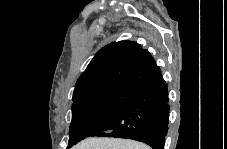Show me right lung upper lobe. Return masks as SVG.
I'll list each match as a JSON object with an SVG mask.
<instances>
[{"label":"right lung upper lobe","instance_id":"1","mask_svg":"<svg viewBox=\"0 0 227 149\" xmlns=\"http://www.w3.org/2000/svg\"><path fill=\"white\" fill-rule=\"evenodd\" d=\"M147 50L132 41H119L103 47L76 82L73 101L89 92L111 84L136 88L160 73Z\"/></svg>","mask_w":227,"mask_h":149}]
</instances>
